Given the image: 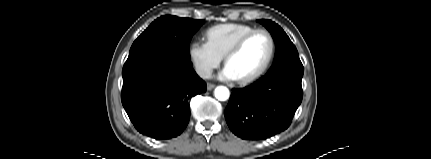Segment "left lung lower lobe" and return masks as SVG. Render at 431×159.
Segmentation results:
<instances>
[{
  "instance_id": "left-lung-lower-lobe-1",
  "label": "left lung lower lobe",
  "mask_w": 431,
  "mask_h": 159,
  "mask_svg": "<svg viewBox=\"0 0 431 159\" xmlns=\"http://www.w3.org/2000/svg\"><path fill=\"white\" fill-rule=\"evenodd\" d=\"M303 72L282 67L250 86L232 89L225 109L230 130L245 140H264L286 130L302 101Z\"/></svg>"
}]
</instances>
